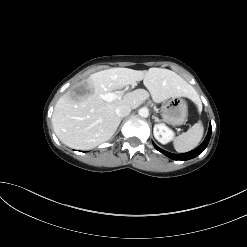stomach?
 <instances>
[{
    "label": "stomach",
    "mask_w": 247,
    "mask_h": 247,
    "mask_svg": "<svg viewBox=\"0 0 247 247\" xmlns=\"http://www.w3.org/2000/svg\"><path fill=\"white\" fill-rule=\"evenodd\" d=\"M188 106L184 99L174 97L168 100L162 109L163 119L173 126L182 125L186 122Z\"/></svg>",
    "instance_id": "stomach-1"
}]
</instances>
